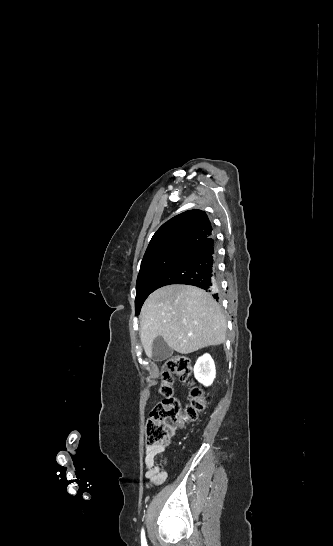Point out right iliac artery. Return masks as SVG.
I'll list each match as a JSON object with an SVG mask.
<instances>
[{"instance_id":"1","label":"right iliac artery","mask_w":333,"mask_h":546,"mask_svg":"<svg viewBox=\"0 0 333 546\" xmlns=\"http://www.w3.org/2000/svg\"><path fill=\"white\" fill-rule=\"evenodd\" d=\"M141 544L142 546H147L144 529L141 531Z\"/></svg>"}]
</instances>
